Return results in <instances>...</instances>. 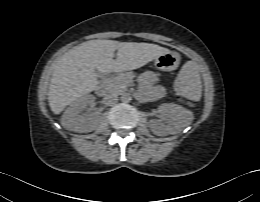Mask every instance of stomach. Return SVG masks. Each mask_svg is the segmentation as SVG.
Returning a JSON list of instances; mask_svg holds the SVG:
<instances>
[{"mask_svg":"<svg viewBox=\"0 0 260 202\" xmlns=\"http://www.w3.org/2000/svg\"><path fill=\"white\" fill-rule=\"evenodd\" d=\"M180 63V56L175 52H168L161 54L154 60V65L157 69L162 71L175 70Z\"/></svg>","mask_w":260,"mask_h":202,"instance_id":"obj_1","label":"stomach"}]
</instances>
